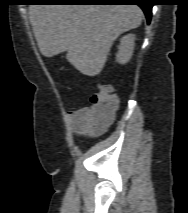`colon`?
<instances>
[{"label": "colon", "instance_id": "5ec220e1", "mask_svg": "<svg viewBox=\"0 0 188 213\" xmlns=\"http://www.w3.org/2000/svg\"><path fill=\"white\" fill-rule=\"evenodd\" d=\"M89 117L94 126H100L112 119L118 107V98L110 85H100L90 98Z\"/></svg>", "mask_w": 188, "mask_h": 213}]
</instances>
